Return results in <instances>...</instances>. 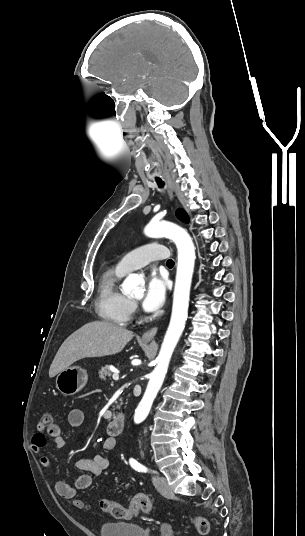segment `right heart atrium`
Instances as JSON below:
<instances>
[{
  "label": "right heart atrium",
  "instance_id": "right-heart-atrium-1",
  "mask_svg": "<svg viewBox=\"0 0 305 536\" xmlns=\"http://www.w3.org/2000/svg\"><path fill=\"white\" fill-rule=\"evenodd\" d=\"M135 306L134 305H131V310H134Z\"/></svg>",
  "mask_w": 305,
  "mask_h": 536
}]
</instances>
